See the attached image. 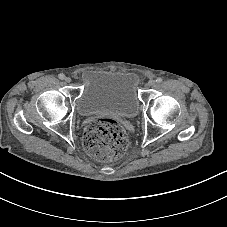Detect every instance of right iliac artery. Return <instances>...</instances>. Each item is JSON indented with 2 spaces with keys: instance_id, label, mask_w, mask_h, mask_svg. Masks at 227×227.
Returning <instances> with one entry per match:
<instances>
[{
  "instance_id": "obj_1",
  "label": "right iliac artery",
  "mask_w": 227,
  "mask_h": 227,
  "mask_svg": "<svg viewBox=\"0 0 227 227\" xmlns=\"http://www.w3.org/2000/svg\"><path fill=\"white\" fill-rule=\"evenodd\" d=\"M58 77H59V79H61V80L65 79V75H64L63 73L59 74Z\"/></svg>"
}]
</instances>
